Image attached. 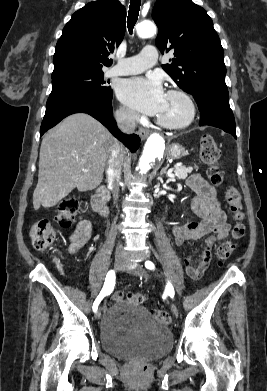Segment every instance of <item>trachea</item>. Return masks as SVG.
I'll return each mask as SVG.
<instances>
[{
    "mask_svg": "<svg viewBox=\"0 0 267 391\" xmlns=\"http://www.w3.org/2000/svg\"><path fill=\"white\" fill-rule=\"evenodd\" d=\"M140 5H141L140 0L130 1L127 24H128V30L131 34L133 32V28L139 16Z\"/></svg>",
    "mask_w": 267,
    "mask_h": 391,
    "instance_id": "1",
    "label": "trachea"
}]
</instances>
